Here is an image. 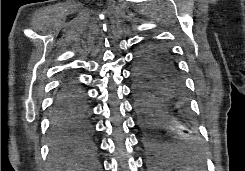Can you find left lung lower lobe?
Segmentation results:
<instances>
[{
  "mask_svg": "<svg viewBox=\"0 0 245 171\" xmlns=\"http://www.w3.org/2000/svg\"><path fill=\"white\" fill-rule=\"evenodd\" d=\"M158 43L151 53L152 61L129 62V67H134L146 129L143 145L149 167H182L187 152L169 148L167 141L154 132V128L164 127L176 134L192 126L184 78L168 47Z\"/></svg>",
  "mask_w": 245,
  "mask_h": 171,
  "instance_id": "1",
  "label": "left lung lower lobe"
}]
</instances>
